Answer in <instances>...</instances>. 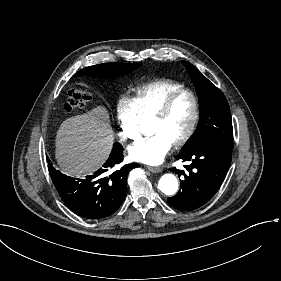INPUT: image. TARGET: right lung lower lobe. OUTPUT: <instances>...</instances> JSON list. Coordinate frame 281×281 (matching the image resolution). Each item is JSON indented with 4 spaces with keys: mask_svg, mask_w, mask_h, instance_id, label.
<instances>
[{
    "mask_svg": "<svg viewBox=\"0 0 281 281\" xmlns=\"http://www.w3.org/2000/svg\"><path fill=\"white\" fill-rule=\"evenodd\" d=\"M122 161L123 147L114 143L103 168L83 179L66 176L51 163L48 169L59 195L71 211L86 219H99L112 215L122 205L129 171L139 167L133 163L115 170Z\"/></svg>",
    "mask_w": 281,
    "mask_h": 281,
    "instance_id": "obj_1",
    "label": "right lung lower lobe"
}]
</instances>
